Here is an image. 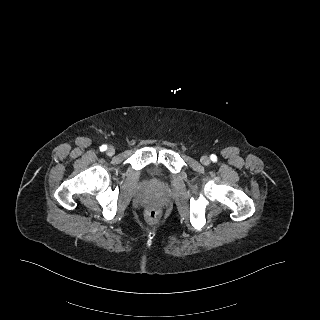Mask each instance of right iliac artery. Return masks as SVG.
Listing matches in <instances>:
<instances>
[{"label":"right iliac artery","mask_w":320,"mask_h":320,"mask_svg":"<svg viewBox=\"0 0 320 320\" xmlns=\"http://www.w3.org/2000/svg\"><path fill=\"white\" fill-rule=\"evenodd\" d=\"M107 149V146L106 145H102L101 147H100V150L101 151H105Z\"/></svg>","instance_id":"obj_1"}]
</instances>
